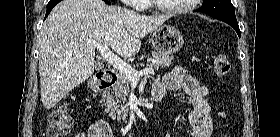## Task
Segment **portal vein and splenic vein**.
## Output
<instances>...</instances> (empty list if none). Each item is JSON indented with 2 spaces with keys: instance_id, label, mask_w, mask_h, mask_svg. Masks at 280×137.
Returning a JSON list of instances; mask_svg holds the SVG:
<instances>
[{
  "instance_id": "18ae733b",
  "label": "portal vein and splenic vein",
  "mask_w": 280,
  "mask_h": 137,
  "mask_svg": "<svg viewBox=\"0 0 280 137\" xmlns=\"http://www.w3.org/2000/svg\"><path fill=\"white\" fill-rule=\"evenodd\" d=\"M102 56V58L116 68L120 73L124 74L130 81L137 82L143 75L154 74L152 67L136 71L131 65L125 63L117 55H115L108 45L94 44Z\"/></svg>"
}]
</instances>
